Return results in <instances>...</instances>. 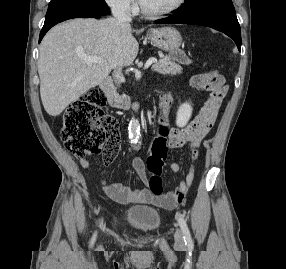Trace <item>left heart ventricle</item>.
I'll use <instances>...</instances> for the list:
<instances>
[{
  "label": "left heart ventricle",
  "mask_w": 286,
  "mask_h": 269,
  "mask_svg": "<svg viewBox=\"0 0 286 269\" xmlns=\"http://www.w3.org/2000/svg\"><path fill=\"white\" fill-rule=\"evenodd\" d=\"M176 0H141L143 6L150 11H160L170 7Z\"/></svg>",
  "instance_id": "b2bd125f"
}]
</instances>
